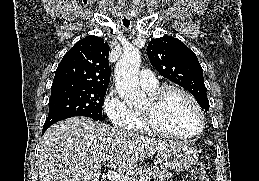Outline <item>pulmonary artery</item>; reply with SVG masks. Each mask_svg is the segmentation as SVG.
Returning <instances> with one entry per match:
<instances>
[{
  "label": "pulmonary artery",
  "mask_w": 259,
  "mask_h": 181,
  "mask_svg": "<svg viewBox=\"0 0 259 181\" xmlns=\"http://www.w3.org/2000/svg\"><path fill=\"white\" fill-rule=\"evenodd\" d=\"M158 82L155 75L150 70H143L140 74V85L145 90L153 89L157 86Z\"/></svg>",
  "instance_id": "e3ab8cb5"
}]
</instances>
